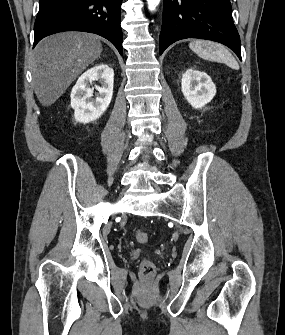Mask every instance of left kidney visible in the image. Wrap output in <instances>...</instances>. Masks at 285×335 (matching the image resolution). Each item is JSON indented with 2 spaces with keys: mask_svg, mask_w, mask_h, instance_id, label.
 <instances>
[{
  "mask_svg": "<svg viewBox=\"0 0 285 335\" xmlns=\"http://www.w3.org/2000/svg\"><path fill=\"white\" fill-rule=\"evenodd\" d=\"M181 88L183 96L192 108H203L216 94L215 84L210 76L198 70H186L185 74H182Z\"/></svg>",
  "mask_w": 285,
  "mask_h": 335,
  "instance_id": "left-kidney-1",
  "label": "left kidney"
}]
</instances>
